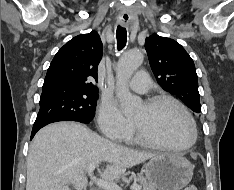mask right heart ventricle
<instances>
[{"label":"right heart ventricle","instance_id":"obj_1","mask_svg":"<svg viewBox=\"0 0 234 190\" xmlns=\"http://www.w3.org/2000/svg\"><path fill=\"white\" fill-rule=\"evenodd\" d=\"M126 143L129 144H136V143H140L139 139L136 136L135 130L132 126V128L130 129V131L126 134V136L123 139Z\"/></svg>","mask_w":234,"mask_h":190}]
</instances>
